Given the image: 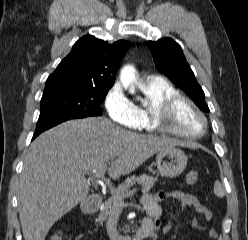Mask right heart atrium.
I'll use <instances>...</instances> for the list:
<instances>
[{
    "mask_svg": "<svg viewBox=\"0 0 248 240\" xmlns=\"http://www.w3.org/2000/svg\"><path fill=\"white\" fill-rule=\"evenodd\" d=\"M104 106L108 116L114 122L128 129H137L139 127V117L135 105L126 96L119 82L114 83L107 91Z\"/></svg>",
    "mask_w": 248,
    "mask_h": 240,
    "instance_id": "obj_1",
    "label": "right heart atrium"
}]
</instances>
